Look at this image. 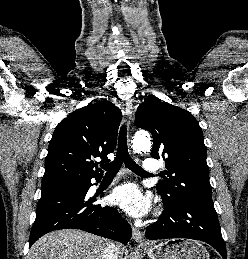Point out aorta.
Returning a JSON list of instances; mask_svg holds the SVG:
<instances>
[{
  "instance_id": "aorta-1",
  "label": "aorta",
  "mask_w": 248,
  "mask_h": 259,
  "mask_svg": "<svg viewBox=\"0 0 248 259\" xmlns=\"http://www.w3.org/2000/svg\"><path fill=\"white\" fill-rule=\"evenodd\" d=\"M132 147L136 151H146L151 148V142L146 134H137L133 141Z\"/></svg>"
}]
</instances>
